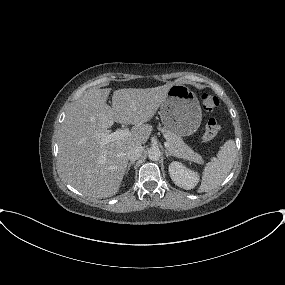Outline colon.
<instances>
[{"label": "colon", "instance_id": "obj_1", "mask_svg": "<svg viewBox=\"0 0 285 285\" xmlns=\"http://www.w3.org/2000/svg\"><path fill=\"white\" fill-rule=\"evenodd\" d=\"M201 104L206 112L211 113L218 108V106L220 105V100L214 94L203 93L201 95ZM219 131H220L219 121L214 117L209 118L206 123L205 130L202 136L203 141L204 142L212 141L217 136Z\"/></svg>", "mask_w": 285, "mask_h": 285}]
</instances>
